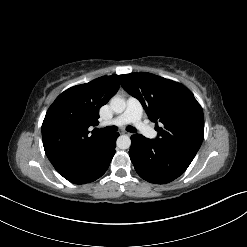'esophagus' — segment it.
I'll use <instances>...</instances> for the list:
<instances>
[{"label": "esophagus", "instance_id": "34e87169", "mask_svg": "<svg viewBox=\"0 0 247 247\" xmlns=\"http://www.w3.org/2000/svg\"><path fill=\"white\" fill-rule=\"evenodd\" d=\"M121 134L128 135V136L131 135V133L130 132H127V131H121Z\"/></svg>", "mask_w": 247, "mask_h": 247}]
</instances>
